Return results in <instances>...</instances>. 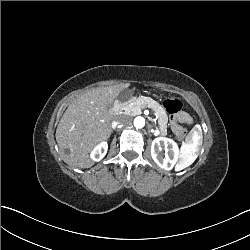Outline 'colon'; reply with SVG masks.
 <instances>
[{
  "label": "colon",
  "instance_id": "1",
  "mask_svg": "<svg viewBox=\"0 0 250 250\" xmlns=\"http://www.w3.org/2000/svg\"><path fill=\"white\" fill-rule=\"evenodd\" d=\"M162 106L164 108H167V110L170 113L176 114L180 119H182L184 121H189V118H188L187 115L180 113L181 108H182V104H181L180 101L173 100L171 97H164L162 99ZM188 133L189 132H188L187 129H185V128L182 129L180 131V133H179L180 134V136H179L180 140L183 141V142L186 141L187 138H188V136H187Z\"/></svg>",
  "mask_w": 250,
  "mask_h": 250
}]
</instances>
